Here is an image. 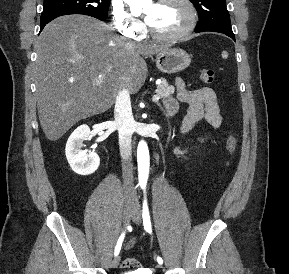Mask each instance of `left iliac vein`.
I'll list each match as a JSON object with an SVG mask.
<instances>
[{"label": "left iliac vein", "mask_w": 289, "mask_h": 274, "mask_svg": "<svg viewBox=\"0 0 289 274\" xmlns=\"http://www.w3.org/2000/svg\"><path fill=\"white\" fill-rule=\"evenodd\" d=\"M132 220L137 225L141 223V208L138 202H136L134 205ZM157 268H162V266L159 264L157 265Z\"/></svg>", "instance_id": "1"}]
</instances>
